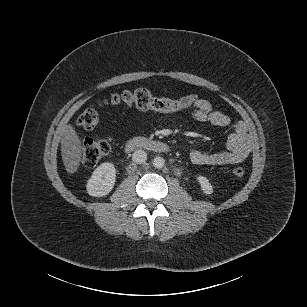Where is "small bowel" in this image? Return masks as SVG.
I'll list each match as a JSON object with an SVG mask.
<instances>
[{
	"instance_id": "c3829d8e",
	"label": "small bowel",
	"mask_w": 307,
	"mask_h": 307,
	"mask_svg": "<svg viewBox=\"0 0 307 307\" xmlns=\"http://www.w3.org/2000/svg\"><path fill=\"white\" fill-rule=\"evenodd\" d=\"M192 116L198 121L230 129L226 150L219 152L193 150L190 153L192 163L210 166L236 164L244 161L249 156L252 149V141L244 122L232 121L228 115L215 110L206 99L196 100L192 109Z\"/></svg>"
}]
</instances>
